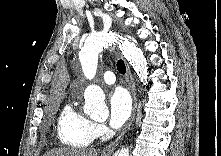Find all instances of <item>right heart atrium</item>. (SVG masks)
<instances>
[{
	"label": "right heart atrium",
	"mask_w": 221,
	"mask_h": 156,
	"mask_svg": "<svg viewBox=\"0 0 221 156\" xmlns=\"http://www.w3.org/2000/svg\"><path fill=\"white\" fill-rule=\"evenodd\" d=\"M90 130L93 138H98L106 132V127L104 124L91 122Z\"/></svg>",
	"instance_id": "right-heart-atrium-1"
}]
</instances>
